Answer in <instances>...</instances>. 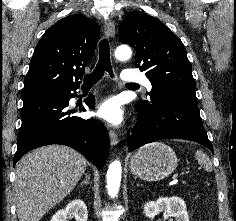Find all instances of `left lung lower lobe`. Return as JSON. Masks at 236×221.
<instances>
[{"label": "left lung lower lobe", "mask_w": 236, "mask_h": 221, "mask_svg": "<svg viewBox=\"0 0 236 221\" xmlns=\"http://www.w3.org/2000/svg\"><path fill=\"white\" fill-rule=\"evenodd\" d=\"M161 139L191 140L213 152L195 94L165 90L151 94L149 101L138 103L137 124L128 139L129 151Z\"/></svg>", "instance_id": "1"}]
</instances>
